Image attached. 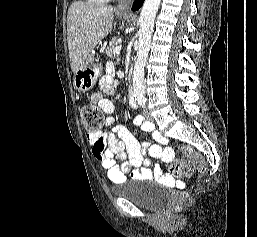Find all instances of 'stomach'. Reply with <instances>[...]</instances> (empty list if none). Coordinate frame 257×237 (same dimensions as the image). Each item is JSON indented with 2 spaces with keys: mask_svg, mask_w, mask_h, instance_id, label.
Segmentation results:
<instances>
[{
  "mask_svg": "<svg viewBox=\"0 0 257 237\" xmlns=\"http://www.w3.org/2000/svg\"><path fill=\"white\" fill-rule=\"evenodd\" d=\"M122 17V15H120ZM100 69L92 51L74 74L73 85L79 92L89 91L96 83Z\"/></svg>",
  "mask_w": 257,
  "mask_h": 237,
  "instance_id": "obj_1",
  "label": "stomach"
}]
</instances>
